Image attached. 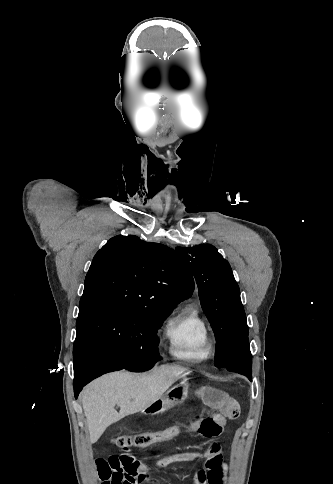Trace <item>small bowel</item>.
Returning <instances> with one entry per match:
<instances>
[{
  "label": "small bowel",
  "mask_w": 333,
  "mask_h": 484,
  "mask_svg": "<svg viewBox=\"0 0 333 484\" xmlns=\"http://www.w3.org/2000/svg\"><path fill=\"white\" fill-rule=\"evenodd\" d=\"M196 394L212 410V414L210 417L198 418L186 433L194 432L214 439L223 432L227 419L239 415V405L228 394L212 387L201 386ZM121 448L122 454L97 461L98 469L107 473L110 484H156L154 475L129 451L131 446ZM202 457L207 460L205 467L198 470L195 484H226L227 467L215 442H211L204 453L186 452L170 456L162 460L157 469L168 461L197 462Z\"/></svg>",
  "instance_id": "1"
}]
</instances>
